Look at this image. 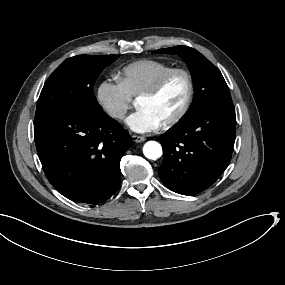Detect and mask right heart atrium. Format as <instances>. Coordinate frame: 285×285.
I'll return each instance as SVG.
<instances>
[{"mask_svg": "<svg viewBox=\"0 0 285 285\" xmlns=\"http://www.w3.org/2000/svg\"><path fill=\"white\" fill-rule=\"evenodd\" d=\"M99 96L105 112L115 120H122L134 107V97L122 85L110 78L102 80Z\"/></svg>", "mask_w": 285, "mask_h": 285, "instance_id": "obj_1", "label": "right heart atrium"}]
</instances>
